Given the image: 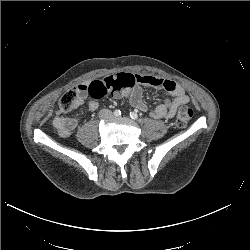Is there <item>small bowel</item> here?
I'll use <instances>...</instances> for the list:
<instances>
[{
    "label": "small bowel",
    "instance_id": "obj_1",
    "mask_svg": "<svg viewBox=\"0 0 250 250\" xmlns=\"http://www.w3.org/2000/svg\"><path fill=\"white\" fill-rule=\"evenodd\" d=\"M102 81L108 85L109 94L116 98H129L132 106L143 112L148 110L143 100V86L167 91L173 99L159 104L151 111V116L156 119L172 118L180 106L189 102V98L181 86L174 81L152 75L118 73L116 75H109L103 78ZM89 84L90 82H86L79 86L77 105L85 104L89 110L94 111L98 108V102L94 99H86ZM79 121V118H67L59 115L55 116L52 120L54 127L62 138L70 136L72 131L78 126Z\"/></svg>",
    "mask_w": 250,
    "mask_h": 250
}]
</instances>
